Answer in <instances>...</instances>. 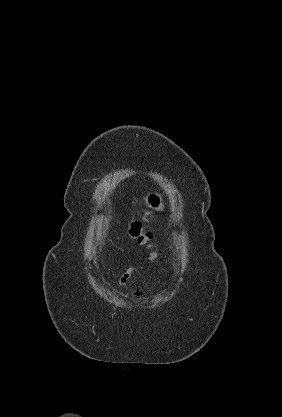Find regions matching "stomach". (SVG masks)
<instances>
[{"label": "stomach", "instance_id": "0dacf381", "mask_svg": "<svg viewBox=\"0 0 282 417\" xmlns=\"http://www.w3.org/2000/svg\"><path fill=\"white\" fill-rule=\"evenodd\" d=\"M145 202L147 206H149V209H152V211H163L164 209L163 196L160 192H156V190L147 192Z\"/></svg>", "mask_w": 282, "mask_h": 417}]
</instances>
